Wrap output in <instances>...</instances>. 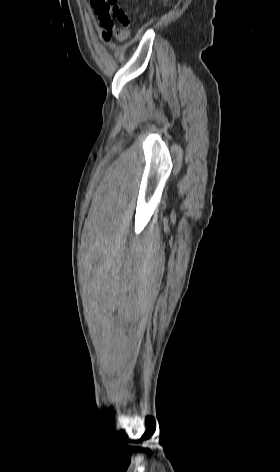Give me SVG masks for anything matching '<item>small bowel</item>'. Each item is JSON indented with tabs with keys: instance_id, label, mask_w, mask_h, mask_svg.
<instances>
[{
	"instance_id": "c3829d8e",
	"label": "small bowel",
	"mask_w": 280,
	"mask_h": 472,
	"mask_svg": "<svg viewBox=\"0 0 280 472\" xmlns=\"http://www.w3.org/2000/svg\"><path fill=\"white\" fill-rule=\"evenodd\" d=\"M102 37L105 41L109 42L112 39L119 41H125L128 39V32L125 30H118L114 24H102Z\"/></svg>"
}]
</instances>
